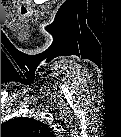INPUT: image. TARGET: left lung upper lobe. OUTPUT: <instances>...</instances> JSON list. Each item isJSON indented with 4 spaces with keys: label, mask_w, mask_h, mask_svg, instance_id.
<instances>
[{
    "label": "left lung upper lobe",
    "mask_w": 121,
    "mask_h": 137,
    "mask_svg": "<svg viewBox=\"0 0 121 137\" xmlns=\"http://www.w3.org/2000/svg\"><path fill=\"white\" fill-rule=\"evenodd\" d=\"M1 134L10 137H45L53 133L48 125L36 119L19 117L1 124Z\"/></svg>",
    "instance_id": "left-lung-upper-lobe-1"
}]
</instances>
